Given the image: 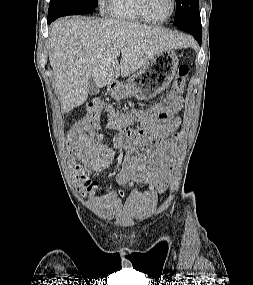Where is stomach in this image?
Wrapping results in <instances>:
<instances>
[{"label":"stomach","mask_w":253,"mask_h":285,"mask_svg":"<svg viewBox=\"0 0 253 285\" xmlns=\"http://www.w3.org/2000/svg\"><path fill=\"white\" fill-rule=\"evenodd\" d=\"M179 58L171 49L158 53L140 72L132 75L125 84L110 83L107 91L114 99L131 96L148 100L164 91L175 76Z\"/></svg>","instance_id":"0dacf381"}]
</instances>
